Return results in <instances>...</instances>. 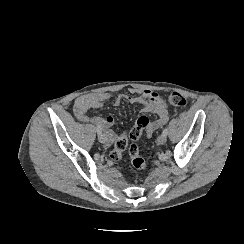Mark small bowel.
I'll use <instances>...</instances> for the list:
<instances>
[{
	"label": "small bowel",
	"mask_w": 244,
	"mask_h": 244,
	"mask_svg": "<svg viewBox=\"0 0 244 244\" xmlns=\"http://www.w3.org/2000/svg\"><path fill=\"white\" fill-rule=\"evenodd\" d=\"M131 95L126 96L125 100L130 103H137L143 106L142 112L152 113L157 116L156 119L151 120L150 127L145 129L146 134L151 136L156 130L161 128L170 117L168 106L161 98V96L149 89H131ZM112 99V94L109 92H100L94 94H87L78 97L73 105V112L77 120L83 123L92 122L99 127L103 128L104 134L107 137V144H112L116 135L112 130L114 125V118L112 115L91 116V110H98L102 108L104 102ZM120 99L115 101L119 104Z\"/></svg>",
	"instance_id": "small-bowel-1"
}]
</instances>
